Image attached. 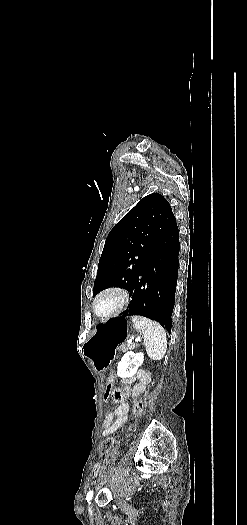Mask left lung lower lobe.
Here are the masks:
<instances>
[{"label":"left lung lower lobe","mask_w":247,"mask_h":525,"mask_svg":"<svg viewBox=\"0 0 247 525\" xmlns=\"http://www.w3.org/2000/svg\"><path fill=\"white\" fill-rule=\"evenodd\" d=\"M180 243L173 217L154 239L144 267L128 289L132 300L120 318L141 315L159 322L171 332Z\"/></svg>","instance_id":"obj_1"}]
</instances>
